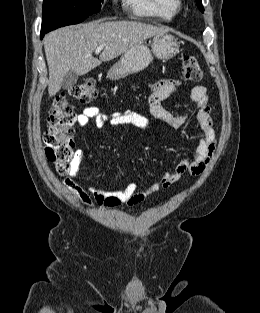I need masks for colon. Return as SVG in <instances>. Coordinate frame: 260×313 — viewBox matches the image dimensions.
<instances>
[{
	"label": "colon",
	"instance_id": "colon-1",
	"mask_svg": "<svg viewBox=\"0 0 260 313\" xmlns=\"http://www.w3.org/2000/svg\"><path fill=\"white\" fill-rule=\"evenodd\" d=\"M181 73L184 79L198 82L203 79V71L195 57L187 56L182 60ZM68 95L82 103H88L97 97L95 80L85 79L71 87L68 92L57 94L49 111L48 129L43 135L45 155L60 174L69 171L75 158L73 142L76 114L68 101Z\"/></svg>",
	"mask_w": 260,
	"mask_h": 313
}]
</instances>
